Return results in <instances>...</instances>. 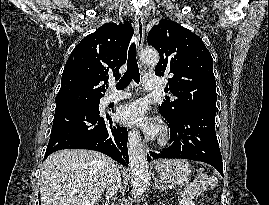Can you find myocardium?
<instances>
[{"mask_svg":"<svg viewBox=\"0 0 269 205\" xmlns=\"http://www.w3.org/2000/svg\"><path fill=\"white\" fill-rule=\"evenodd\" d=\"M165 142H166V138H165V137H162V138L160 139V143L164 144Z\"/></svg>","mask_w":269,"mask_h":205,"instance_id":"obj_1","label":"myocardium"}]
</instances>
